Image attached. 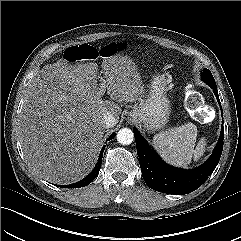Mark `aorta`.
Here are the masks:
<instances>
[{
    "label": "aorta",
    "instance_id": "aorta-1",
    "mask_svg": "<svg viewBox=\"0 0 241 241\" xmlns=\"http://www.w3.org/2000/svg\"><path fill=\"white\" fill-rule=\"evenodd\" d=\"M117 141L122 145H129L133 142L134 134L133 131L129 128H122L118 131Z\"/></svg>",
    "mask_w": 241,
    "mask_h": 241
}]
</instances>
